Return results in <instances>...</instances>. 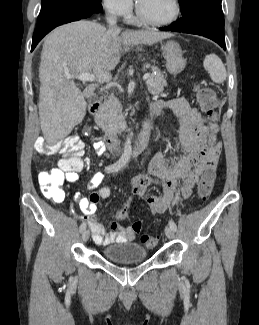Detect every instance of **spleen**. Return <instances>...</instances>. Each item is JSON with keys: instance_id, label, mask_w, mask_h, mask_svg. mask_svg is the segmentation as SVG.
I'll return each mask as SVG.
<instances>
[{"instance_id": "obj_1", "label": "spleen", "mask_w": 259, "mask_h": 325, "mask_svg": "<svg viewBox=\"0 0 259 325\" xmlns=\"http://www.w3.org/2000/svg\"><path fill=\"white\" fill-rule=\"evenodd\" d=\"M204 68L210 74L215 83H223L227 78L226 68L221 59L216 54H209L203 61Z\"/></svg>"}]
</instances>
